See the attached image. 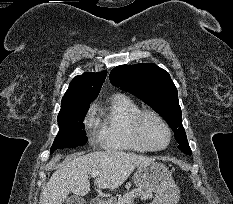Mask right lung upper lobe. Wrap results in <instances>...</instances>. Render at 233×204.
<instances>
[{
  "mask_svg": "<svg viewBox=\"0 0 233 204\" xmlns=\"http://www.w3.org/2000/svg\"><path fill=\"white\" fill-rule=\"evenodd\" d=\"M107 71L84 73L76 76L62 98L61 108L90 105L97 97L106 78Z\"/></svg>",
  "mask_w": 233,
  "mask_h": 204,
  "instance_id": "1",
  "label": "right lung upper lobe"
}]
</instances>
